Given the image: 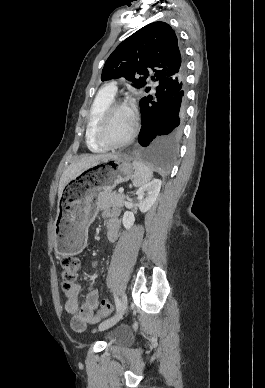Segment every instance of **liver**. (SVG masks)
I'll list each match as a JSON object with an SVG mask.
<instances>
[{
  "label": "liver",
  "instance_id": "6515ba94",
  "mask_svg": "<svg viewBox=\"0 0 265 388\" xmlns=\"http://www.w3.org/2000/svg\"><path fill=\"white\" fill-rule=\"evenodd\" d=\"M106 156H112V154H99V156H88V158H81V160H77V162H73V164H70V166H68V168L64 170L60 178L58 198H61L63 190L65 186H67L68 182H70V180H73V178H76V176H79L81 172H84V170H88V168H91V166H95L98 160H101V158H106Z\"/></svg>",
  "mask_w": 265,
  "mask_h": 388
}]
</instances>
